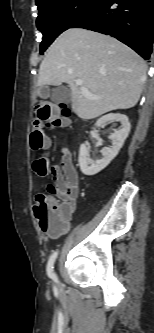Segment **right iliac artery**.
Listing matches in <instances>:
<instances>
[{"label":"right iliac artery","mask_w":154,"mask_h":333,"mask_svg":"<svg viewBox=\"0 0 154 333\" xmlns=\"http://www.w3.org/2000/svg\"><path fill=\"white\" fill-rule=\"evenodd\" d=\"M57 255H58V252H54L50 258H49V261H48V264H47V274L48 276L53 279V280H57V277H56V274L54 273V262L57 258Z\"/></svg>","instance_id":"1"}]
</instances>
